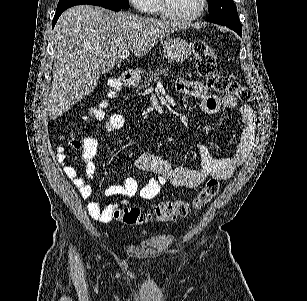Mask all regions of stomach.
Instances as JSON below:
<instances>
[{"mask_svg":"<svg viewBox=\"0 0 307 301\" xmlns=\"http://www.w3.org/2000/svg\"><path fill=\"white\" fill-rule=\"evenodd\" d=\"M163 50L168 62H184L191 54L189 42L181 36H172L164 40Z\"/></svg>","mask_w":307,"mask_h":301,"instance_id":"1","label":"stomach"}]
</instances>
